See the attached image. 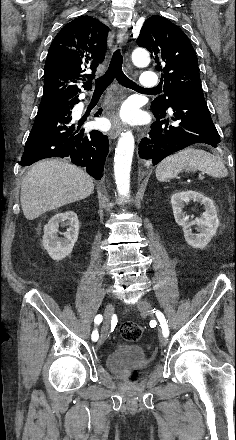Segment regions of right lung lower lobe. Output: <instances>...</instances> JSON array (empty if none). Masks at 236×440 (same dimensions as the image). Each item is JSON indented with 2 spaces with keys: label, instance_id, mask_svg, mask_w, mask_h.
Masks as SVG:
<instances>
[{
  "label": "right lung lower lobe",
  "instance_id": "right-lung-lower-lobe-1",
  "mask_svg": "<svg viewBox=\"0 0 236 440\" xmlns=\"http://www.w3.org/2000/svg\"><path fill=\"white\" fill-rule=\"evenodd\" d=\"M78 97L40 103L34 125L25 144L20 164L29 166L41 159L68 158L85 167L95 179L103 176L109 150L108 137L97 130L80 129L72 117ZM101 109L95 114L99 116Z\"/></svg>",
  "mask_w": 236,
  "mask_h": 440
}]
</instances>
